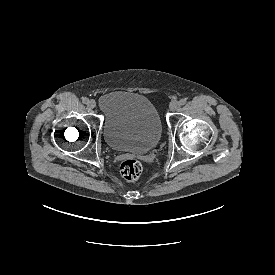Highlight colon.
Listing matches in <instances>:
<instances>
[{
	"mask_svg": "<svg viewBox=\"0 0 275 275\" xmlns=\"http://www.w3.org/2000/svg\"><path fill=\"white\" fill-rule=\"evenodd\" d=\"M142 169L140 161L127 159L121 163L120 174L126 181H134L140 176Z\"/></svg>",
	"mask_w": 275,
	"mask_h": 275,
	"instance_id": "obj_1",
	"label": "colon"
}]
</instances>
